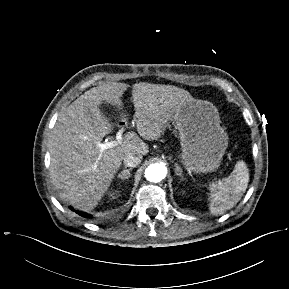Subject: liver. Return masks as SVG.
Returning a JSON list of instances; mask_svg holds the SVG:
<instances>
[{
    "label": "liver",
    "instance_id": "1",
    "mask_svg": "<svg viewBox=\"0 0 289 289\" xmlns=\"http://www.w3.org/2000/svg\"><path fill=\"white\" fill-rule=\"evenodd\" d=\"M125 83L110 82L93 87L59 114L50 138V177L62 200L90 211L107 192L128 152L146 155L148 145L135 132L113 148L101 151L98 143L113 130L99 105L103 102L122 108ZM132 98L134 121L139 135L156 140L181 106L192 100L187 90L173 85L136 83Z\"/></svg>",
    "mask_w": 289,
    "mask_h": 289
}]
</instances>
